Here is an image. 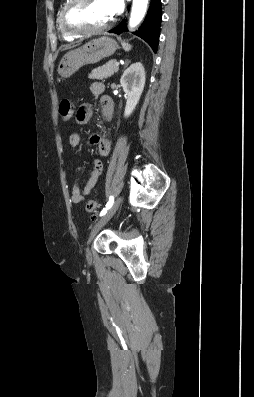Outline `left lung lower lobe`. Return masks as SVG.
Instances as JSON below:
<instances>
[{
	"instance_id": "1",
	"label": "left lung lower lobe",
	"mask_w": 254,
	"mask_h": 397,
	"mask_svg": "<svg viewBox=\"0 0 254 397\" xmlns=\"http://www.w3.org/2000/svg\"><path fill=\"white\" fill-rule=\"evenodd\" d=\"M161 19V0H151L150 7L143 24L136 32H134L135 35L144 39L155 53L157 52L159 41ZM126 31H128V29L125 21H122L117 27L111 29L109 32L121 34Z\"/></svg>"
}]
</instances>
